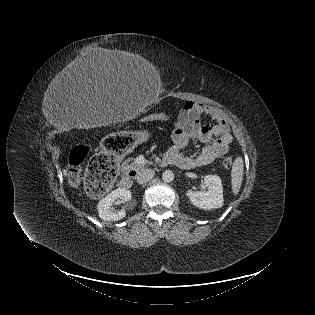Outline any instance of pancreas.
Listing matches in <instances>:
<instances>
[{
	"label": "pancreas",
	"instance_id": "obj_1",
	"mask_svg": "<svg viewBox=\"0 0 315 315\" xmlns=\"http://www.w3.org/2000/svg\"><path fill=\"white\" fill-rule=\"evenodd\" d=\"M129 161H132L131 165H129V169L130 170H135V171H140L142 170L146 164H148V162H145L144 164H139L137 162V159L136 158H132V159H128L125 164H127Z\"/></svg>",
	"mask_w": 315,
	"mask_h": 315
}]
</instances>
